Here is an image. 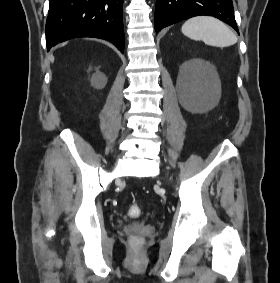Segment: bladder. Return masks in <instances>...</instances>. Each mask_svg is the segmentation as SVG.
<instances>
[{"mask_svg": "<svg viewBox=\"0 0 280 283\" xmlns=\"http://www.w3.org/2000/svg\"><path fill=\"white\" fill-rule=\"evenodd\" d=\"M145 223H146V220L145 219H141V220L135 221L133 223V225L136 226V227H142Z\"/></svg>", "mask_w": 280, "mask_h": 283, "instance_id": "31cf9c89", "label": "bladder"}]
</instances>
